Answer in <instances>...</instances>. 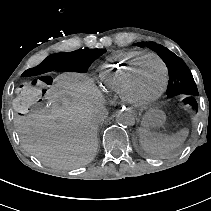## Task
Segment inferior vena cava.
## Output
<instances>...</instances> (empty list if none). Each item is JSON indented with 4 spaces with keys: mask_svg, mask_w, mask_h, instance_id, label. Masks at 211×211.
<instances>
[{
    "mask_svg": "<svg viewBox=\"0 0 211 211\" xmlns=\"http://www.w3.org/2000/svg\"><path fill=\"white\" fill-rule=\"evenodd\" d=\"M99 116H100V119H104L106 117V111L102 108L99 109Z\"/></svg>",
    "mask_w": 211,
    "mask_h": 211,
    "instance_id": "inferior-vena-cava-1",
    "label": "inferior vena cava"
}]
</instances>
